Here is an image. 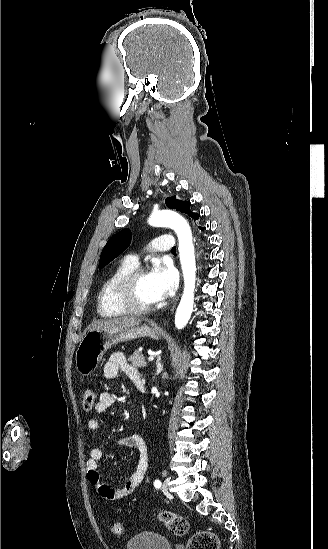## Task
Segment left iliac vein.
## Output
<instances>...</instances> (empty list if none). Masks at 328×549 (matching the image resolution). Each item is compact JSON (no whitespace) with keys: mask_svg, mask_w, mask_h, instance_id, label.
I'll list each match as a JSON object with an SVG mask.
<instances>
[{"mask_svg":"<svg viewBox=\"0 0 328 549\" xmlns=\"http://www.w3.org/2000/svg\"><path fill=\"white\" fill-rule=\"evenodd\" d=\"M161 489H162L163 492H168L169 491L168 481L167 480H164Z\"/></svg>","mask_w":328,"mask_h":549,"instance_id":"obj_1","label":"left iliac vein"}]
</instances>
